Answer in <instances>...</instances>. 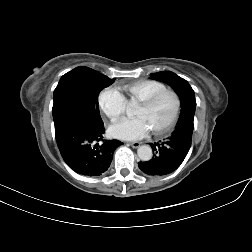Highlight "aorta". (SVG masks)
<instances>
[{"label":"aorta","instance_id":"aorta-1","mask_svg":"<svg viewBox=\"0 0 252 252\" xmlns=\"http://www.w3.org/2000/svg\"><path fill=\"white\" fill-rule=\"evenodd\" d=\"M138 157L142 161H149L152 158V149L148 145H142L137 150Z\"/></svg>","mask_w":252,"mask_h":252}]
</instances>
